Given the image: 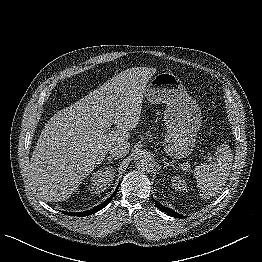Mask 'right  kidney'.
Listing matches in <instances>:
<instances>
[{
  "mask_svg": "<svg viewBox=\"0 0 262 262\" xmlns=\"http://www.w3.org/2000/svg\"><path fill=\"white\" fill-rule=\"evenodd\" d=\"M113 177L114 172L112 169L109 168L93 173L90 179L91 190L95 193H100L101 191L108 189L110 183L113 180Z\"/></svg>",
  "mask_w": 262,
  "mask_h": 262,
  "instance_id": "right-kidney-1",
  "label": "right kidney"
}]
</instances>
